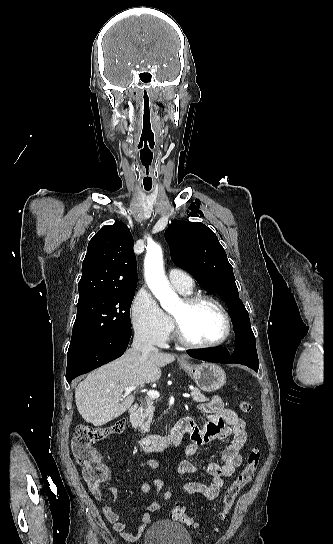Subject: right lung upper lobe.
Wrapping results in <instances>:
<instances>
[{
    "instance_id": "1",
    "label": "right lung upper lobe",
    "mask_w": 333,
    "mask_h": 544,
    "mask_svg": "<svg viewBox=\"0 0 333 544\" xmlns=\"http://www.w3.org/2000/svg\"><path fill=\"white\" fill-rule=\"evenodd\" d=\"M136 286L137 264L129 228L123 222L103 227L88 244L78 302L111 291H132Z\"/></svg>"
}]
</instances>
